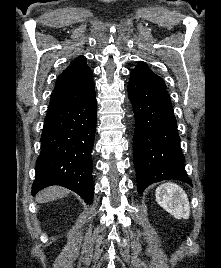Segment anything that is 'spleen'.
<instances>
[{
	"instance_id": "obj_1",
	"label": "spleen",
	"mask_w": 221,
	"mask_h": 268,
	"mask_svg": "<svg viewBox=\"0 0 221 268\" xmlns=\"http://www.w3.org/2000/svg\"><path fill=\"white\" fill-rule=\"evenodd\" d=\"M157 203L176 219H188L190 204L185 191L175 183H164L156 189Z\"/></svg>"
}]
</instances>
